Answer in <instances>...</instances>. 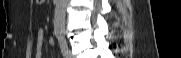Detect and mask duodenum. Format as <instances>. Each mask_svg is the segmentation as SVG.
<instances>
[{
    "mask_svg": "<svg viewBox=\"0 0 181 58\" xmlns=\"http://www.w3.org/2000/svg\"><path fill=\"white\" fill-rule=\"evenodd\" d=\"M53 2H54V3H57V2H58V0H53Z\"/></svg>",
    "mask_w": 181,
    "mask_h": 58,
    "instance_id": "1",
    "label": "duodenum"
}]
</instances>
